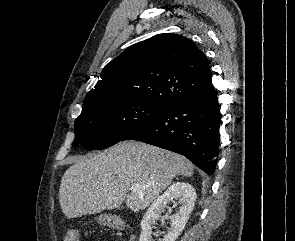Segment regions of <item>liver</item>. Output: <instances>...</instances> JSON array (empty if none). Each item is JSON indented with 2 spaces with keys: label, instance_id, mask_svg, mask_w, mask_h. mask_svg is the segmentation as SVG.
Returning a JSON list of instances; mask_svg holds the SVG:
<instances>
[{
  "label": "liver",
  "instance_id": "6515ba94",
  "mask_svg": "<svg viewBox=\"0 0 295 241\" xmlns=\"http://www.w3.org/2000/svg\"><path fill=\"white\" fill-rule=\"evenodd\" d=\"M194 165L184 156L135 141L121 142L98 154L75 158L64 173L59 202L67 218L118 208H147L176 175L191 176ZM134 184L137 192L128 193Z\"/></svg>",
  "mask_w": 295,
  "mask_h": 241
}]
</instances>
